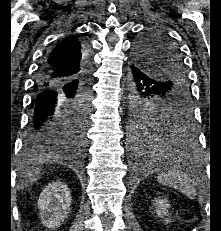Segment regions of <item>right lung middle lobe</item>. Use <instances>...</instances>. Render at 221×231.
I'll return each instance as SVG.
<instances>
[{
	"mask_svg": "<svg viewBox=\"0 0 221 231\" xmlns=\"http://www.w3.org/2000/svg\"><path fill=\"white\" fill-rule=\"evenodd\" d=\"M90 102L78 100L64 112V129L78 143L85 144Z\"/></svg>",
	"mask_w": 221,
	"mask_h": 231,
	"instance_id": "obj_1",
	"label": "right lung middle lobe"
}]
</instances>
